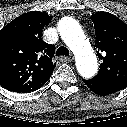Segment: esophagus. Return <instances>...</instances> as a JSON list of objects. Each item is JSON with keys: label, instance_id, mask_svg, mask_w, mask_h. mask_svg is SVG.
<instances>
[{"label": "esophagus", "instance_id": "34e87169", "mask_svg": "<svg viewBox=\"0 0 127 127\" xmlns=\"http://www.w3.org/2000/svg\"><path fill=\"white\" fill-rule=\"evenodd\" d=\"M59 60L62 61V62H71V61L74 60V57L73 56H70V57H60Z\"/></svg>", "mask_w": 127, "mask_h": 127}]
</instances>
